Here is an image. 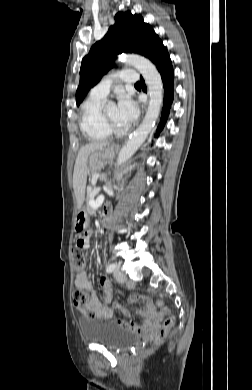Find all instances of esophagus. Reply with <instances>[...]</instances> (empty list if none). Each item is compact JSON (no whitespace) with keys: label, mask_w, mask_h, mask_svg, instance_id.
Segmentation results:
<instances>
[{"label":"esophagus","mask_w":252,"mask_h":390,"mask_svg":"<svg viewBox=\"0 0 252 390\" xmlns=\"http://www.w3.org/2000/svg\"><path fill=\"white\" fill-rule=\"evenodd\" d=\"M147 105H148V100L143 104V107H142L143 113H145V111L147 109Z\"/></svg>","instance_id":"1"}]
</instances>
